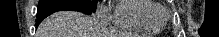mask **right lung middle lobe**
<instances>
[{
    "label": "right lung middle lobe",
    "instance_id": "right-lung-middle-lobe-1",
    "mask_svg": "<svg viewBox=\"0 0 219 37\" xmlns=\"http://www.w3.org/2000/svg\"><path fill=\"white\" fill-rule=\"evenodd\" d=\"M60 4L72 6L80 12L90 15L96 11L97 0H40L38 10Z\"/></svg>",
    "mask_w": 219,
    "mask_h": 37
}]
</instances>
